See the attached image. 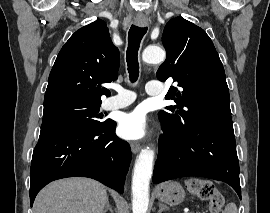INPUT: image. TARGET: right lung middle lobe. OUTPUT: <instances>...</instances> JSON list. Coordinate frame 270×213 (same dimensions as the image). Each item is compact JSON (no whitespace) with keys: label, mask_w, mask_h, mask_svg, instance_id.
Returning <instances> with one entry per match:
<instances>
[{"label":"right lung middle lobe","mask_w":270,"mask_h":213,"mask_svg":"<svg viewBox=\"0 0 270 213\" xmlns=\"http://www.w3.org/2000/svg\"><path fill=\"white\" fill-rule=\"evenodd\" d=\"M101 103L65 100L44 106L42 125H67L82 129H98L107 123L98 114Z\"/></svg>","instance_id":"obj_1"}]
</instances>
